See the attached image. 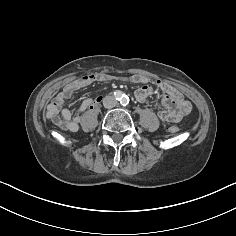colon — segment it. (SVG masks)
Here are the masks:
<instances>
[{"mask_svg":"<svg viewBox=\"0 0 236 236\" xmlns=\"http://www.w3.org/2000/svg\"><path fill=\"white\" fill-rule=\"evenodd\" d=\"M170 131L173 132V133H176L178 131V128L177 127H170Z\"/></svg>","mask_w":236,"mask_h":236,"instance_id":"5ec220e1","label":"colon"}]
</instances>
